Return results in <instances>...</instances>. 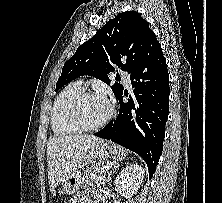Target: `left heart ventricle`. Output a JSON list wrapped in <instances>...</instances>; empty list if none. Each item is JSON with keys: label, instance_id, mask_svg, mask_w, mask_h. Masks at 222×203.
<instances>
[{"label": "left heart ventricle", "instance_id": "obj_1", "mask_svg": "<svg viewBox=\"0 0 222 203\" xmlns=\"http://www.w3.org/2000/svg\"><path fill=\"white\" fill-rule=\"evenodd\" d=\"M110 111L107 100L102 97H90L81 105V116L85 123L94 125L102 121Z\"/></svg>", "mask_w": 222, "mask_h": 203}]
</instances>
